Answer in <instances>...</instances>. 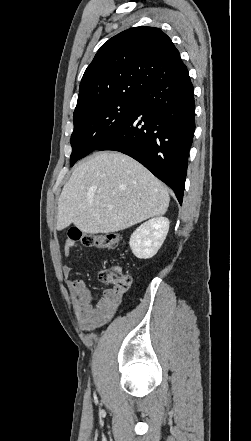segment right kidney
Wrapping results in <instances>:
<instances>
[{"label": "right kidney", "instance_id": "1", "mask_svg": "<svg viewBox=\"0 0 251 441\" xmlns=\"http://www.w3.org/2000/svg\"><path fill=\"white\" fill-rule=\"evenodd\" d=\"M169 231V220L156 217L141 224L131 235L129 245L139 259L152 258L162 246Z\"/></svg>", "mask_w": 251, "mask_h": 441}]
</instances>
